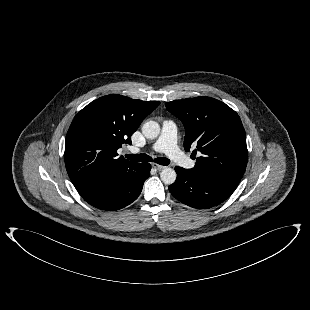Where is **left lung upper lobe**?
<instances>
[{
	"mask_svg": "<svg viewBox=\"0 0 310 310\" xmlns=\"http://www.w3.org/2000/svg\"><path fill=\"white\" fill-rule=\"evenodd\" d=\"M166 108L184 124L185 150L194 145L202 153L191 170L238 185L248 160L246 134L238 114L205 96L167 102Z\"/></svg>",
	"mask_w": 310,
	"mask_h": 310,
	"instance_id": "5c2ea615",
	"label": "left lung upper lobe"
}]
</instances>
